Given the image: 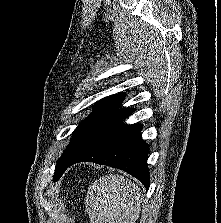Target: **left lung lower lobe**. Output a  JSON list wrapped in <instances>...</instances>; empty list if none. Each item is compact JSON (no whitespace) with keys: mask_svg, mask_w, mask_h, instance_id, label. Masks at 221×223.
<instances>
[{"mask_svg":"<svg viewBox=\"0 0 221 223\" xmlns=\"http://www.w3.org/2000/svg\"><path fill=\"white\" fill-rule=\"evenodd\" d=\"M135 109L119 118L107 128L89 147L68 165L78 162H94L126 171L138 178L148 189L150 185L147 167L148 145L142 141L141 125H126L121 121Z\"/></svg>","mask_w":221,"mask_h":223,"instance_id":"obj_1","label":"left lung lower lobe"}]
</instances>
